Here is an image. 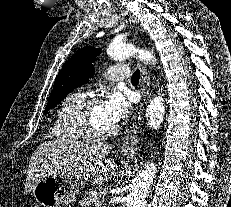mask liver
<instances>
[{"mask_svg":"<svg viewBox=\"0 0 231 207\" xmlns=\"http://www.w3.org/2000/svg\"><path fill=\"white\" fill-rule=\"evenodd\" d=\"M111 149L112 146L105 143H43L30 159L24 192H32L41 178L54 174L91 178L92 185H101L113 174L114 164L106 160Z\"/></svg>","mask_w":231,"mask_h":207,"instance_id":"6515ba94","label":"liver"}]
</instances>
